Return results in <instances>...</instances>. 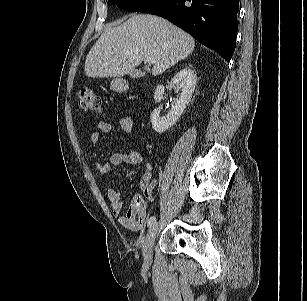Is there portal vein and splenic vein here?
<instances>
[{"label": "portal vein and splenic vein", "mask_w": 307, "mask_h": 301, "mask_svg": "<svg viewBox=\"0 0 307 301\" xmlns=\"http://www.w3.org/2000/svg\"><path fill=\"white\" fill-rule=\"evenodd\" d=\"M145 61H146L147 63H155V62H156L154 59H152V58H150V57H147V58L145 59Z\"/></svg>", "instance_id": "obj_1"}]
</instances>
